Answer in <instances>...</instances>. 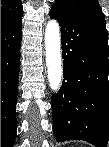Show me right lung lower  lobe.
<instances>
[{
    "label": "right lung lower lobe",
    "instance_id": "right-lung-lower-lobe-1",
    "mask_svg": "<svg viewBox=\"0 0 109 147\" xmlns=\"http://www.w3.org/2000/svg\"><path fill=\"white\" fill-rule=\"evenodd\" d=\"M22 21L1 29V146L11 147L16 135V101Z\"/></svg>",
    "mask_w": 109,
    "mask_h": 147
}]
</instances>
